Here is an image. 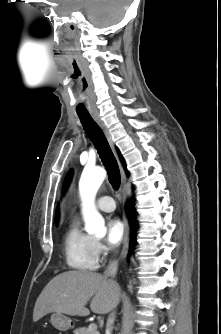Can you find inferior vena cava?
<instances>
[{"instance_id": "inferior-vena-cava-1", "label": "inferior vena cava", "mask_w": 221, "mask_h": 334, "mask_svg": "<svg viewBox=\"0 0 221 334\" xmlns=\"http://www.w3.org/2000/svg\"><path fill=\"white\" fill-rule=\"evenodd\" d=\"M117 268H118L117 261L111 262L107 266L106 270L104 271V276L106 278L111 277V279H113L115 277L116 273H117ZM118 301H119V298L116 299V303L114 305V308L116 307ZM114 320H115V312L113 311L112 313H110V315H109V317L107 319V323H106V329L107 330H112L113 324H114Z\"/></svg>"}]
</instances>
